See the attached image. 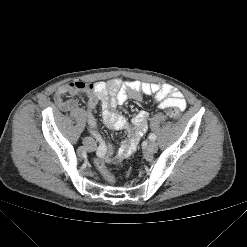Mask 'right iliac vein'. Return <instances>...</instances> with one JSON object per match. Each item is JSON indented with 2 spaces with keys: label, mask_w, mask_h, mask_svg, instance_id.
Instances as JSON below:
<instances>
[{
  "label": "right iliac vein",
  "mask_w": 247,
  "mask_h": 247,
  "mask_svg": "<svg viewBox=\"0 0 247 247\" xmlns=\"http://www.w3.org/2000/svg\"><path fill=\"white\" fill-rule=\"evenodd\" d=\"M83 145H84L86 148H88V149H90V150H93V149L95 148V146H96V143H95V141H94L93 138H91V137H86V138L83 139Z\"/></svg>",
  "instance_id": "right-iliac-vein-1"
}]
</instances>
